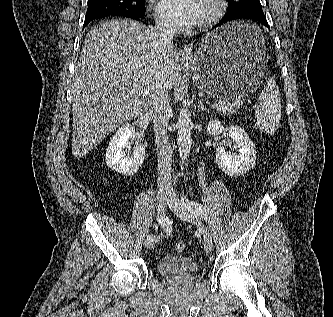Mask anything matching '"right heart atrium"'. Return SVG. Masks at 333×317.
<instances>
[{
	"mask_svg": "<svg viewBox=\"0 0 333 317\" xmlns=\"http://www.w3.org/2000/svg\"><path fill=\"white\" fill-rule=\"evenodd\" d=\"M155 18H156V22L160 27L163 28H170V25L164 20L162 19L158 14H155Z\"/></svg>",
	"mask_w": 333,
	"mask_h": 317,
	"instance_id": "obj_1",
	"label": "right heart atrium"
}]
</instances>
